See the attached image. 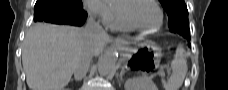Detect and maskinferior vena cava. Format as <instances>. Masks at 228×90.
I'll return each instance as SVG.
<instances>
[{
	"mask_svg": "<svg viewBox=\"0 0 228 90\" xmlns=\"http://www.w3.org/2000/svg\"><path fill=\"white\" fill-rule=\"evenodd\" d=\"M106 34L103 27L97 23L94 16L91 15L85 27L86 47L74 70L75 80L79 81L86 76L93 56L92 44L96 39L101 38Z\"/></svg>",
	"mask_w": 228,
	"mask_h": 90,
	"instance_id": "obj_1",
	"label": "inferior vena cava"
}]
</instances>
